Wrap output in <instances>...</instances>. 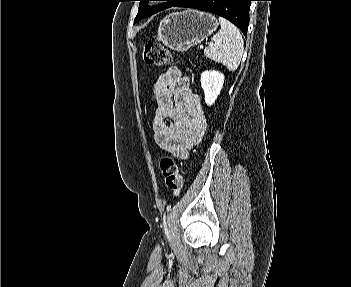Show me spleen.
Returning <instances> with one entry per match:
<instances>
[{
	"mask_svg": "<svg viewBox=\"0 0 351 287\" xmlns=\"http://www.w3.org/2000/svg\"><path fill=\"white\" fill-rule=\"evenodd\" d=\"M221 29L213 35L212 44L204 49L206 57L220 62L229 71H235L243 55L244 42L238 28L223 17H219Z\"/></svg>",
	"mask_w": 351,
	"mask_h": 287,
	"instance_id": "3e777b00",
	"label": "spleen"
}]
</instances>
